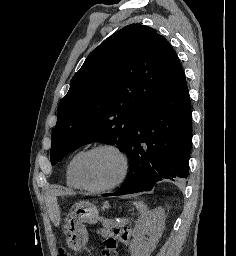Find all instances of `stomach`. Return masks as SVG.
I'll return each mask as SVG.
<instances>
[{
    "mask_svg": "<svg viewBox=\"0 0 236 256\" xmlns=\"http://www.w3.org/2000/svg\"><path fill=\"white\" fill-rule=\"evenodd\" d=\"M97 219L98 209L94 204L80 201L72 206L65 224V234L71 249L81 251L85 247L88 233L84 223L94 224Z\"/></svg>",
    "mask_w": 236,
    "mask_h": 256,
    "instance_id": "1",
    "label": "stomach"
}]
</instances>
